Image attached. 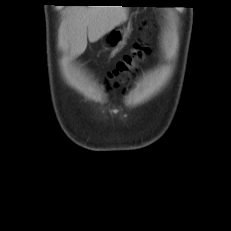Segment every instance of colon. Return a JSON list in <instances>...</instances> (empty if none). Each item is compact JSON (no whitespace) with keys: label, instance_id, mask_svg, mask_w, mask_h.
<instances>
[{"label":"colon","instance_id":"obj_1","mask_svg":"<svg viewBox=\"0 0 231 231\" xmlns=\"http://www.w3.org/2000/svg\"><path fill=\"white\" fill-rule=\"evenodd\" d=\"M147 53V45L143 41L136 42L133 50L125 55L117 65L108 72L105 79L106 87L111 88L117 85L123 77L133 74L138 65L144 60Z\"/></svg>","mask_w":231,"mask_h":231}]
</instances>
